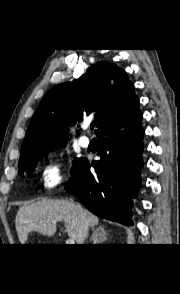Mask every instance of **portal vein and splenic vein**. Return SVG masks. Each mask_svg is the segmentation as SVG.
Wrapping results in <instances>:
<instances>
[{
    "label": "portal vein and splenic vein",
    "instance_id": "1",
    "mask_svg": "<svg viewBox=\"0 0 180 294\" xmlns=\"http://www.w3.org/2000/svg\"><path fill=\"white\" fill-rule=\"evenodd\" d=\"M66 244L74 245L75 244V240L74 239H68V240H66Z\"/></svg>",
    "mask_w": 180,
    "mask_h": 294
}]
</instances>
